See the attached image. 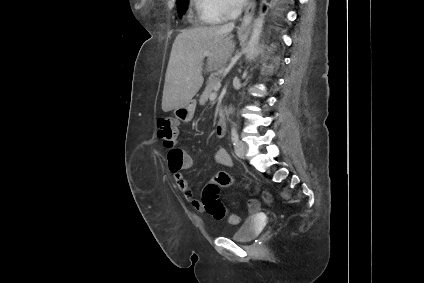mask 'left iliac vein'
<instances>
[{"mask_svg": "<svg viewBox=\"0 0 424 283\" xmlns=\"http://www.w3.org/2000/svg\"><path fill=\"white\" fill-rule=\"evenodd\" d=\"M246 152H247L246 145L243 142L238 141V143L235 146V153H236V155L238 157H240V158H245Z\"/></svg>", "mask_w": 424, "mask_h": 283, "instance_id": "left-iliac-vein-1", "label": "left iliac vein"}]
</instances>
